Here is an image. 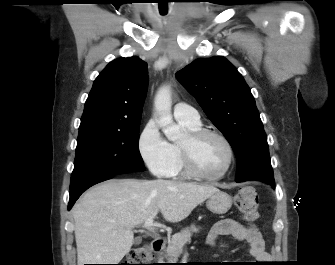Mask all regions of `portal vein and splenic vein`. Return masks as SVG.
Segmentation results:
<instances>
[{"instance_id": "portal-vein-and-splenic-vein-1", "label": "portal vein and splenic vein", "mask_w": 335, "mask_h": 265, "mask_svg": "<svg viewBox=\"0 0 335 265\" xmlns=\"http://www.w3.org/2000/svg\"><path fill=\"white\" fill-rule=\"evenodd\" d=\"M158 225L154 223V217L147 219L143 225L144 228L149 230H155Z\"/></svg>"}]
</instances>
